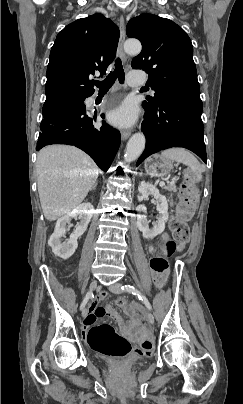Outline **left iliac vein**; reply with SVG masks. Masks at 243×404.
Segmentation results:
<instances>
[{"label":"left iliac vein","instance_id":"1","mask_svg":"<svg viewBox=\"0 0 243 404\" xmlns=\"http://www.w3.org/2000/svg\"><path fill=\"white\" fill-rule=\"evenodd\" d=\"M109 290L111 292H113V293H116V294H120V293L123 292L122 289H121V284L120 283H114V284L110 285ZM146 318H147L148 323L154 324V316L150 311L146 312Z\"/></svg>","mask_w":243,"mask_h":404}]
</instances>
